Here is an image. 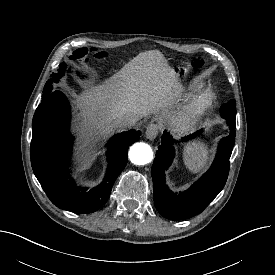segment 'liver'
<instances>
[{"instance_id":"liver-1","label":"liver","mask_w":275,"mask_h":275,"mask_svg":"<svg viewBox=\"0 0 275 275\" xmlns=\"http://www.w3.org/2000/svg\"><path fill=\"white\" fill-rule=\"evenodd\" d=\"M176 81L174 70L160 51L138 54L105 84L76 96L79 116L87 127L82 132L106 137L118 129L117 120L126 114L140 119L166 108L176 94Z\"/></svg>"}]
</instances>
